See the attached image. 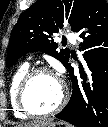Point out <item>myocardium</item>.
<instances>
[{
    "instance_id": "obj_1",
    "label": "myocardium",
    "mask_w": 108,
    "mask_h": 127,
    "mask_svg": "<svg viewBox=\"0 0 108 127\" xmlns=\"http://www.w3.org/2000/svg\"><path fill=\"white\" fill-rule=\"evenodd\" d=\"M39 74L54 75L52 70H50L49 68L44 67V66L29 69V71L25 74V76L21 80L19 87H18V91H17L18 106L22 110V112L28 116L46 117V116L54 115L57 112H59L67 102V98H68L67 86L65 85V83L62 80H59L60 84H61V96H60L58 103L55 105L54 108H52L51 110H49L47 112H38L29 106L28 101H27V94H28V90H29V87H30L32 81Z\"/></svg>"
}]
</instances>
